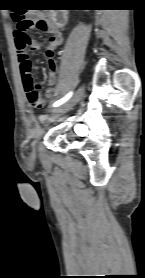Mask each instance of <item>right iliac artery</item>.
<instances>
[{
	"instance_id": "82829eb1",
	"label": "right iliac artery",
	"mask_w": 145,
	"mask_h": 278,
	"mask_svg": "<svg viewBox=\"0 0 145 278\" xmlns=\"http://www.w3.org/2000/svg\"><path fill=\"white\" fill-rule=\"evenodd\" d=\"M72 96V92L68 93L64 98L56 101L53 106L54 107H57V106H60L62 105L63 103H65L67 100H69V98Z\"/></svg>"
}]
</instances>
